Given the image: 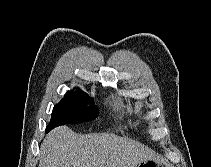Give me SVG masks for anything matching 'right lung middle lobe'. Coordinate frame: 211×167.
<instances>
[{
    "label": "right lung middle lobe",
    "mask_w": 211,
    "mask_h": 167,
    "mask_svg": "<svg viewBox=\"0 0 211 167\" xmlns=\"http://www.w3.org/2000/svg\"><path fill=\"white\" fill-rule=\"evenodd\" d=\"M93 104L92 98L81 90L69 91L64 98L54 106L51 120L46 132L59 125L68 123H80L94 119L98 110Z\"/></svg>",
    "instance_id": "obj_1"
}]
</instances>
